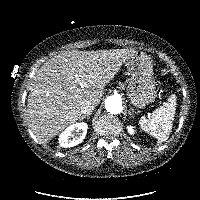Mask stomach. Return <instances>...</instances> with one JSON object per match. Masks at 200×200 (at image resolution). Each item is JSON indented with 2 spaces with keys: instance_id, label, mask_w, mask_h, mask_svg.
Here are the masks:
<instances>
[{
  "instance_id": "stomach-1",
  "label": "stomach",
  "mask_w": 200,
  "mask_h": 200,
  "mask_svg": "<svg viewBox=\"0 0 200 200\" xmlns=\"http://www.w3.org/2000/svg\"><path fill=\"white\" fill-rule=\"evenodd\" d=\"M126 68L130 76L128 98L133 106L143 108L156 96L152 61L145 53L136 51L126 60Z\"/></svg>"
}]
</instances>
